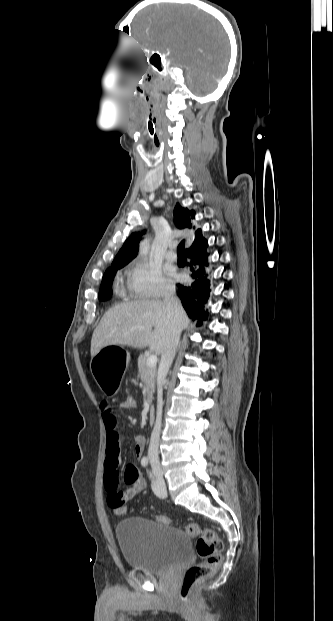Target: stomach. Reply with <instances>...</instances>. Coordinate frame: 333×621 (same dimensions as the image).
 Listing matches in <instances>:
<instances>
[{
  "mask_svg": "<svg viewBox=\"0 0 333 621\" xmlns=\"http://www.w3.org/2000/svg\"><path fill=\"white\" fill-rule=\"evenodd\" d=\"M130 355L123 350L122 344L117 341H104L100 350H95L92 356L94 379L98 390L103 396H116L122 384L120 379L125 374V368Z\"/></svg>",
  "mask_w": 333,
  "mask_h": 621,
  "instance_id": "stomach-1",
  "label": "stomach"
}]
</instances>
